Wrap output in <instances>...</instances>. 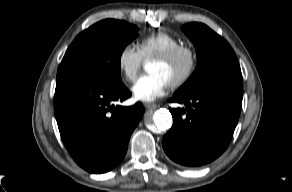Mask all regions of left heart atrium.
<instances>
[{
  "label": "left heart atrium",
  "instance_id": "left-heart-atrium-1",
  "mask_svg": "<svg viewBox=\"0 0 292 192\" xmlns=\"http://www.w3.org/2000/svg\"><path fill=\"white\" fill-rule=\"evenodd\" d=\"M168 86V81L162 75L149 72L135 82L132 93L136 100L149 102L162 96Z\"/></svg>",
  "mask_w": 292,
  "mask_h": 192
}]
</instances>
